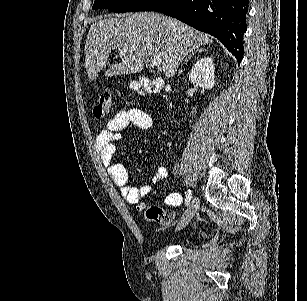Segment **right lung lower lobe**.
<instances>
[{"instance_id": "1", "label": "right lung lower lobe", "mask_w": 307, "mask_h": 301, "mask_svg": "<svg viewBox=\"0 0 307 301\" xmlns=\"http://www.w3.org/2000/svg\"><path fill=\"white\" fill-rule=\"evenodd\" d=\"M143 11H158L218 38L240 63L247 0H155Z\"/></svg>"}]
</instances>
